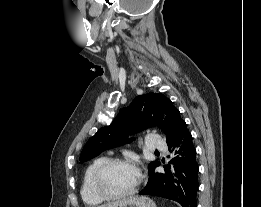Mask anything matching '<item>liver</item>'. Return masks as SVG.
I'll return each instance as SVG.
<instances>
[{"label": "liver", "mask_w": 261, "mask_h": 207, "mask_svg": "<svg viewBox=\"0 0 261 207\" xmlns=\"http://www.w3.org/2000/svg\"><path fill=\"white\" fill-rule=\"evenodd\" d=\"M108 204H106V205H102V206H99V207H106Z\"/></svg>", "instance_id": "6515ba94"}]
</instances>
